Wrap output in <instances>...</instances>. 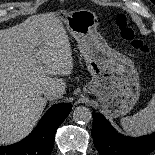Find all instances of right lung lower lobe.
I'll return each mask as SVG.
<instances>
[{"label":"right lung lower lobe","mask_w":155,"mask_h":155,"mask_svg":"<svg viewBox=\"0 0 155 155\" xmlns=\"http://www.w3.org/2000/svg\"><path fill=\"white\" fill-rule=\"evenodd\" d=\"M71 107L67 103L52 106L29 136L10 146H0V155H50L55 132L70 113Z\"/></svg>","instance_id":"obj_1"}]
</instances>
